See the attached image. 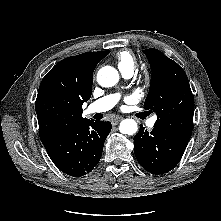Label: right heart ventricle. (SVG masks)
Listing matches in <instances>:
<instances>
[{
    "instance_id": "1",
    "label": "right heart ventricle",
    "mask_w": 221,
    "mask_h": 221,
    "mask_svg": "<svg viewBox=\"0 0 221 221\" xmlns=\"http://www.w3.org/2000/svg\"><path fill=\"white\" fill-rule=\"evenodd\" d=\"M116 62L121 73L134 72L137 65L135 56L128 50L119 51L116 56Z\"/></svg>"
}]
</instances>
